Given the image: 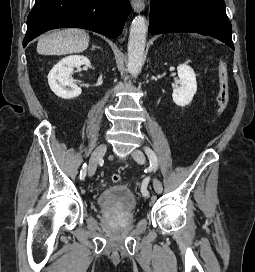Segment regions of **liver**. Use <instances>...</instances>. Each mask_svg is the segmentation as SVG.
<instances>
[{"label":"liver","instance_id":"1","mask_svg":"<svg viewBox=\"0 0 255 272\" xmlns=\"http://www.w3.org/2000/svg\"><path fill=\"white\" fill-rule=\"evenodd\" d=\"M89 46V35L81 29H65L41 37L37 52L41 55L79 53Z\"/></svg>","mask_w":255,"mask_h":272}]
</instances>
